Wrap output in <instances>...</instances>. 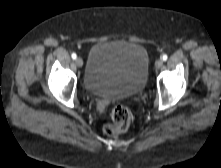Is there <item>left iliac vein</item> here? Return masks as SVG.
Listing matches in <instances>:
<instances>
[{
	"label": "left iliac vein",
	"mask_w": 221,
	"mask_h": 168,
	"mask_svg": "<svg viewBox=\"0 0 221 168\" xmlns=\"http://www.w3.org/2000/svg\"><path fill=\"white\" fill-rule=\"evenodd\" d=\"M162 66H163V60L158 59V60L155 62V68H156V69H160Z\"/></svg>",
	"instance_id": "4c4485c4"
}]
</instances>
